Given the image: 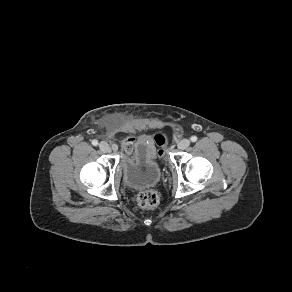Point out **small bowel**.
I'll use <instances>...</instances> for the list:
<instances>
[{
	"instance_id": "1",
	"label": "small bowel",
	"mask_w": 292,
	"mask_h": 292,
	"mask_svg": "<svg viewBox=\"0 0 292 292\" xmlns=\"http://www.w3.org/2000/svg\"><path fill=\"white\" fill-rule=\"evenodd\" d=\"M155 142H157L156 137L140 136L137 139L130 137L124 140L123 149L128 156L135 159L145 157L147 160H152L156 156Z\"/></svg>"
}]
</instances>
